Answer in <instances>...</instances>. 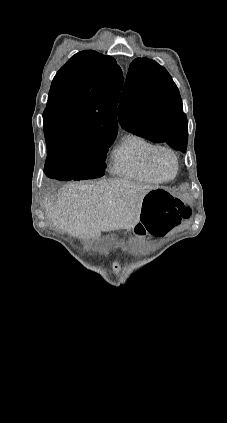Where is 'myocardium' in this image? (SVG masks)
<instances>
[{"mask_svg":"<svg viewBox=\"0 0 227 423\" xmlns=\"http://www.w3.org/2000/svg\"><path fill=\"white\" fill-rule=\"evenodd\" d=\"M159 151H165V152L169 153L174 160L175 173L171 178L163 177L160 174V172L158 171V169L155 165V155ZM147 163H148V166H149L150 170L152 171V173L163 182H169V181H172L173 179H175L176 176L178 175L179 169H180V161H179V157H178L177 152L173 148H171L169 146H165V145H155L148 153Z\"/></svg>","mask_w":227,"mask_h":423,"instance_id":"obj_1","label":"myocardium"}]
</instances>
